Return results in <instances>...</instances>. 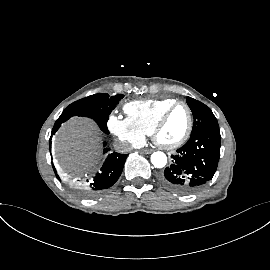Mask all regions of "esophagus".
<instances>
[{
    "mask_svg": "<svg viewBox=\"0 0 270 270\" xmlns=\"http://www.w3.org/2000/svg\"><path fill=\"white\" fill-rule=\"evenodd\" d=\"M141 151H142L143 153H145V154H150V153L153 152L152 149H142Z\"/></svg>",
    "mask_w": 270,
    "mask_h": 270,
    "instance_id": "esophagus-1",
    "label": "esophagus"
}]
</instances>
